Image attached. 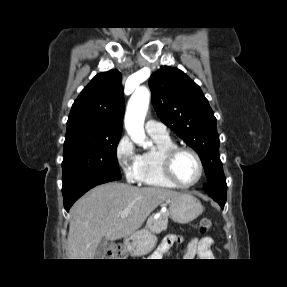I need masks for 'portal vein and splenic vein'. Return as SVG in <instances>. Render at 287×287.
<instances>
[{
    "label": "portal vein and splenic vein",
    "instance_id": "obj_1",
    "mask_svg": "<svg viewBox=\"0 0 287 287\" xmlns=\"http://www.w3.org/2000/svg\"><path fill=\"white\" fill-rule=\"evenodd\" d=\"M130 210L129 209H124L122 212H120V216L122 218L127 217L129 215Z\"/></svg>",
    "mask_w": 287,
    "mask_h": 287
}]
</instances>
